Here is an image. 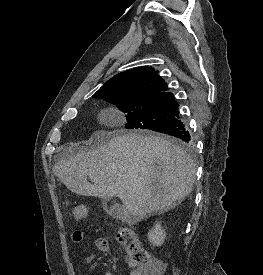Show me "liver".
<instances>
[{
  "instance_id": "6515ba94",
  "label": "liver",
  "mask_w": 263,
  "mask_h": 275,
  "mask_svg": "<svg viewBox=\"0 0 263 275\" xmlns=\"http://www.w3.org/2000/svg\"><path fill=\"white\" fill-rule=\"evenodd\" d=\"M92 143L91 149L60 159L53 172L78 195L119 197L128 221L164 213L193 189V160L163 137L96 131L87 142Z\"/></svg>"
}]
</instances>
